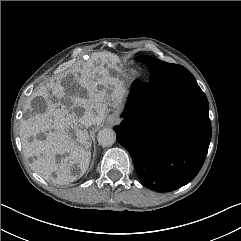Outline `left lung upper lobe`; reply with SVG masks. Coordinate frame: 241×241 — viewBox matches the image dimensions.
I'll list each match as a JSON object with an SVG mask.
<instances>
[{
	"label": "left lung upper lobe",
	"instance_id": "1",
	"mask_svg": "<svg viewBox=\"0 0 241 241\" xmlns=\"http://www.w3.org/2000/svg\"><path fill=\"white\" fill-rule=\"evenodd\" d=\"M136 60L146 64L149 71L164 75L172 94H178L187 88L198 85L194 76L181 65L167 63L148 56H138Z\"/></svg>",
	"mask_w": 241,
	"mask_h": 241
}]
</instances>
